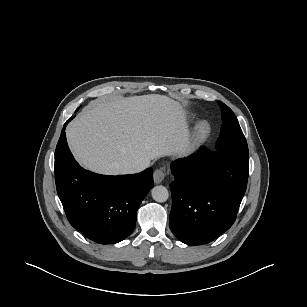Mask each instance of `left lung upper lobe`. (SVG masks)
I'll return each instance as SVG.
<instances>
[{"label": "left lung upper lobe", "mask_w": 307, "mask_h": 307, "mask_svg": "<svg viewBox=\"0 0 307 307\" xmlns=\"http://www.w3.org/2000/svg\"><path fill=\"white\" fill-rule=\"evenodd\" d=\"M220 104L223 125L216 145V152L232 153L249 160L247 142L235 114L227 105L222 102Z\"/></svg>", "instance_id": "5c2ea615"}]
</instances>
